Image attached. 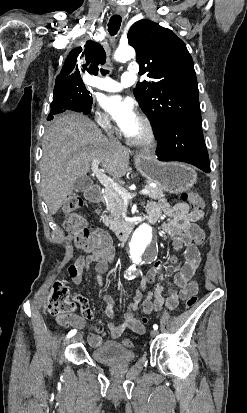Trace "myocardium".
Segmentation results:
<instances>
[{"mask_svg": "<svg viewBox=\"0 0 247 413\" xmlns=\"http://www.w3.org/2000/svg\"><path fill=\"white\" fill-rule=\"evenodd\" d=\"M142 123L145 125L147 129V135L146 137L142 139H132L130 137L127 138V142L135 147L139 148H148L156 144L158 140V133L157 130L152 123V121L148 118H144Z\"/></svg>", "mask_w": 247, "mask_h": 413, "instance_id": "myocardium-1", "label": "myocardium"}]
</instances>
